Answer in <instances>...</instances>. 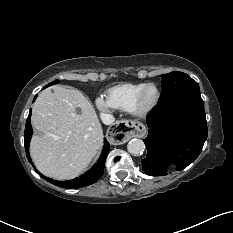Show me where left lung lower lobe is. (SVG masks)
I'll return each mask as SVG.
<instances>
[{
    "label": "left lung lower lobe",
    "mask_w": 233,
    "mask_h": 233,
    "mask_svg": "<svg viewBox=\"0 0 233 233\" xmlns=\"http://www.w3.org/2000/svg\"><path fill=\"white\" fill-rule=\"evenodd\" d=\"M143 140L147 156L142 169L151 176L183 170L200 154L207 139V121L200 90H189L160 102L147 118Z\"/></svg>",
    "instance_id": "1"
}]
</instances>
